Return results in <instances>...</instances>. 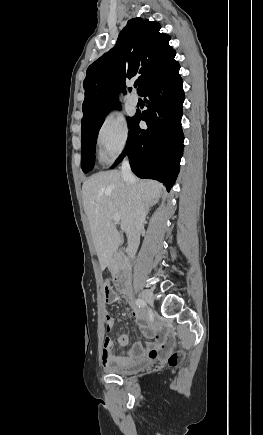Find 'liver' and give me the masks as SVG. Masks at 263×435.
Listing matches in <instances>:
<instances>
[{
    "label": "liver",
    "instance_id": "6515ba94",
    "mask_svg": "<svg viewBox=\"0 0 263 435\" xmlns=\"http://www.w3.org/2000/svg\"><path fill=\"white\" fill-rule=\"evenodd\" d=\"M136 189L141 201L148 205L158 201L163 186L156 181L136 179ZM82 198L95 250L104 270L120 244L112 216H120L121 228L126 233L130 223L128 190L121 172L111 170L94 174L83 183Z\"/></svg>",
    "mask_w": 263,
    "mask_h": 435
}]
</instances>
